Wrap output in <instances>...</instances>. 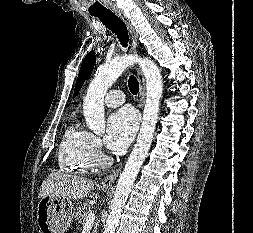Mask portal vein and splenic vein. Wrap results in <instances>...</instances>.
I'll return each instance as SVG.
<instances>
[{"label": "portal vein and splenic vein", "instance_id": "portal-vein-and-splenic-vein-1", "mask_svg": "<svg viewBox=\"0 0 253 233\" xmlns=\"http://www.w3.org/2000/svg\"><path fill=\"white\" fill-rule=\"evenodd\" d=\"M95 221V214L93 212H89L86 217V225L93 224Z\"/></svg>", "mask_w": 253, "mask_h": 233}]
</instances>
